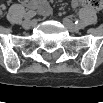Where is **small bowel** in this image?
Here are the masks:
<instances>
[{
  "label": "small bowel",
  "instance_id": "1",
  "mask_svg": "<svg viewBox=\"0 0 103 103\" xmlns=\"http://www.w3.org/2000/svg\"><path fill=\"white\" fill-rule=\"evenodd\" d=\"M22 4L27 8L38 9L44 15L50 14L51 11L49 4L43 0H23ZM72 5L77 7L84 4L78 0H73Z\"/></svg>",
  "mask_w": 103,
  "mask_h": 103
}]
</instances>
